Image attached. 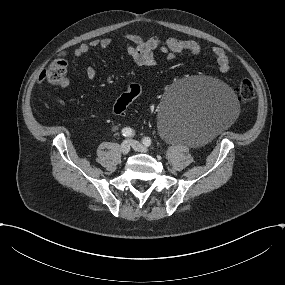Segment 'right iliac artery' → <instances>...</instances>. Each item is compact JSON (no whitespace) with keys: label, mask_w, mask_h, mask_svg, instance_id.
I'll return each mask as SVG.
<instances>
[{"label":"right iliac artery","mask_w":285,"mask_h":285,"mask_svg":"<svg viewBox=\"0 0 285 285\" xmlns=\"http://www.w3.org/2000/svg\"><path fill=\"white\" fill-rule=\"evenodd\" d=\"M122 135L124 137H131L134 135V131L131 128L126 127L122 129Z\"/></svg>","instance_id":"right-iliac-artery-1"}]
</instances>
